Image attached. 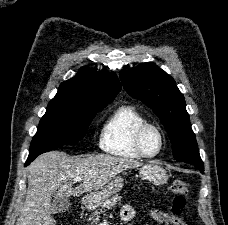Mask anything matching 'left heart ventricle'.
I'll return each instance as SVG.
<instances>
[{
    "mask_svg": "<svg viewBox=\"0 0 228 225\" xmlns=\"http://www.w3.org/2000/svg\"><path fill=\"white\" fill-rule=\"evenodd\" d=\"M145 148L149 153H155L160 147V137L157 132L151 130L145 137Z\"/></svg>",
    "mask_w": 228,
    "mask_h": 225,
    "instance_id": "1",
    "label": "left heart ventricle"
}]
</instances>
